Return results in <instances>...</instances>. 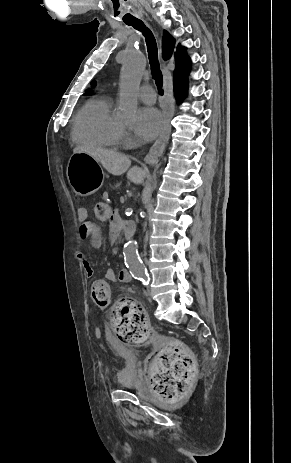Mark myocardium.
I'll use <instances>...</instances> for the list:
<instances>
[{"label": "myocardium", "instance_id": "f54148a6", "mask_svg": "<svg viewBox=\"0 0 291 463\" xmlns=\"http://www.w3.org/2000/svg\"><path fill=\"white\" fill-rule=\"evenodd\" d=\"M123 141V127L120 126V136H119V142L121 143Z\"/></svg>", "mask_w": 291, "mask_h": 463}]
</instances>
